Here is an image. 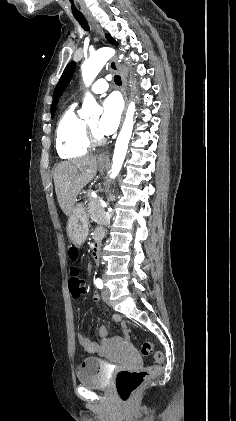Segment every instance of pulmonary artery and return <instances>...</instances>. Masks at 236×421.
Listing matches in <instances>:
<instances>
[{"label": "pulmonary artery", "instance_id": "obj_1", "mask_svg": "<svg viewBox=\"0 0 236 421\" xmlns=\"http://www.w3.org/2000/svg\"><path fill=\"white\" fill-rule=\"evenodd\" d=\"M110 78H111L110 75L100 78L97 82L93 84L91 88L92 92L95 94H98V93L106 91L109 87L108 81L110 80Z\"/></svg>", "mask_w": 236, "mask_h": 421}]
</instances>
